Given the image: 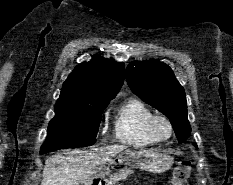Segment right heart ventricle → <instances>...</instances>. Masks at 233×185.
Returning <instances> with one entry per match:
<instances>
[{"instance_id": "obj_1", "label": "right heart ventricle", "mask_w": 233, "mask_h": 185, "mask_svg": "<svg viewBox=\"0 0 233 185\" xmlns=\"http://www.w3.org/2000/svg\"><path fill=\"white\" fill-rule=\"evenodd\" d=\"M154 112L141 100L131 98L117 110L114 118L116 139L133 147L154 145L156 140L150 132L149 122Z\"/></svg>"}]
</instances>
